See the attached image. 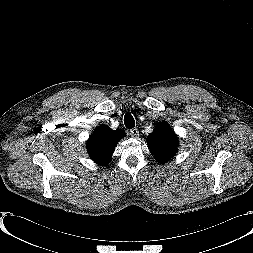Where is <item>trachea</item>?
I'll return each mask as SVG.
<instances>
[{"label": "trachea", "instance_id": "obj_1", "mask_svg": "<svg viewBox=\"0 0 253 253\" xmlns=\"http://www.w3.org/2000/svg\"><path fill=\"white\" fill-rule=\"evenodd\" d=\"M124 124H125L126 128H128V129H132L135 127V120H134L133 116L131 115V113L125 114Z\"/></svg>", "mask_w": 253, "mask_h": 253}]
</instances>
